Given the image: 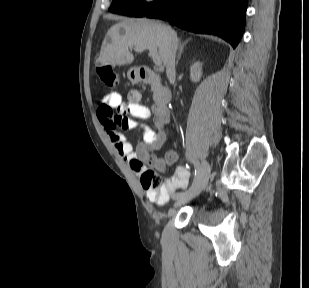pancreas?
Masks as SVG:
<instances>
[{
    "label": "pancreas",
    "mask_w": 309,
    "mask_h": 288,
    "mask_svg": "<svg viewBox=\"0 0 309 288\" xmlns=\"http://www.w3.org/2000/svg\"><path fill=\"white\" fill-rule=\"evenodd\" d=\"M155 89H156L155 85L152 84V85H151V91H152V92H155Z\"/></svg>",
    "instance_id": "obj_1"
}]
</instances>
